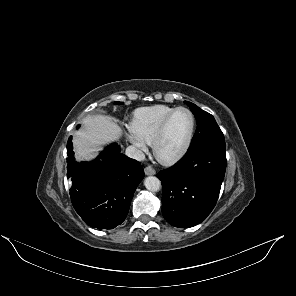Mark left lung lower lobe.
I'll use <instances>...</instances> for the list:
<instances>
[{"label":"left lung lower lobe","instance_id":"left-lung-lower-lobe-1","mask_svg":"<svg viewBox=\"0 0 296 296\" xmlns=\"http://www.w3.org/2000/svg\"><path fill=\"white\" fill-rule=\"evenodd\" d=\"M226 170L225 140L188 150L174 166L162 170V213L175 227L202 222L213 210Z\"/></svg>","mask_w":296,"mask_h":296}]
</instances>
